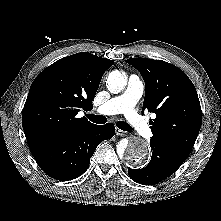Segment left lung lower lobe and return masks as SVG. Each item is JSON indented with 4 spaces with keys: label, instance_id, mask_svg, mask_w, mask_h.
Returning <instances> with one entry per match:
<instances>
[{
    "label": "left lung lower lobe",
    "instance_id": "obj_1",
    "mask_svg": "<svg viewBox=\"0 0 221 221\" xmlns=\"http://www.w3.org/2000/svg\"><path fill=\"white\" fill-rule=\"evenodd\" d=\"M151 161L142 169H128L130 178L143 185H153L172 175L189 154L161 141L150 140Z\"/></svg>",
    "mask_w": 221,
    "mask_h": 221
}]
</instances>
